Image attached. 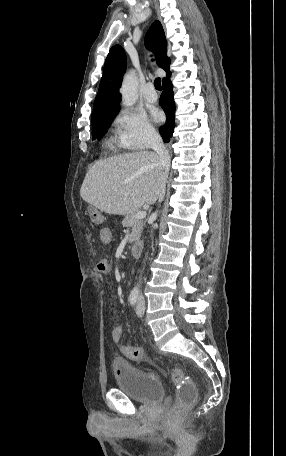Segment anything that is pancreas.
I'll return each instance as SVG.
<instances>
[{
    "label": "pancreas",
    "mask_w": 286,
    "mask_h": 456,
    "mask_svg": "<svg viewBox=\"0 0 286 456\" xmlns=\"http://www.w3.org/2000/svg\"><path fill=\"white\" fill-rule=\"evenodd\" d=\"M136 213L128 214L122 221L123 227H130L131 233L129 235L128 241L130 243L136 242L141 236L143 229V221L141 219H136Z\"/></svg>",
    "instance_id": "pancreas-1"
}]
</instances>
